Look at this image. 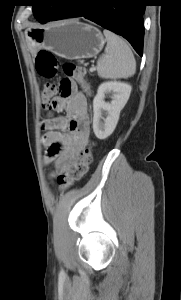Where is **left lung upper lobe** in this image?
I'll use <instances>...</instances> for the list:
<instances>
[{
  "label": "left lung upper lobe",
  "mask_w": 181,
  "mask_h": 300,
  "mask_svg": "<svg viewBox=\"0 0 181 300\" xmlns=\"http://www.w3.org/2000/svg\"><path fill=\"white\" fill-rule=\"evenodd\" d=\"M43 6H40L38 4H35L33 6V13L35 18L40 22V23H46L48 19L54 15L57 9H48L46 8L45 10L42 9Z\"/></svg>",
  "instance_id": "1"
}]
</instances>
